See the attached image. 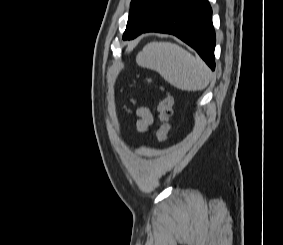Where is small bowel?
Returning a JSON list of instances; mask_svg holds the SVG:
<instances>
[{
    "instance_id": "obj_1",
    "label": "small bowel",
    "mask_w": 283,
    "mask_h": 245,
    "mask_svg": "<svg viewBox=\"0 0 283 245\" xmlns=\"http://www.w3.org/2000/svg\"><path fill=\"white\" fill-rule=\"evenodd\" d=\"M134 113L138 117L136 123L137 130L142 133L148 132L154 121L153 115L149 108L140 106L134 111Z\"/></svg>"
}]
</instances>
